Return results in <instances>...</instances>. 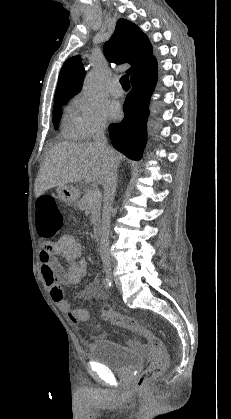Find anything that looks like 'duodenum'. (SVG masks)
Returning <instances> with one entry per match:
<instances>
[{"mask_svg":"<svg viewBox=\"0 0 231 419\" xmlns=\"http://www.w3.org/2000/svg\"><path fill=\"white\" fill-rule=\"evenodd\" d=\"M92 232L93 235L96 239H99L100 234H101V227L99 222H94L93 226H92Z\"/></svg>","mask_w":231,"mask_h":419,"instance_id":"obj_1","label":"duodenum"}]
</instances>
